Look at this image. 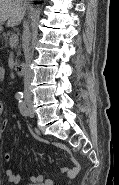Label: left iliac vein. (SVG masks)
<instances>
[{
  "label": "left iliac vein",
  "mask_w": 119,
  "mask_h": 185,
  "mask_svg": "<svg viewBox=\"0 0 119 185\" xmlns=\"http://www.w3.org/2000/svg\"><path fill=\"white\" fill-rule=\"evenodd\" d=\"M27 116H30V117L34 116V109L32 107V103L31 102H28Z\"/></svg>",
  "instance_id": "4c4485c4"
}]
</instances>
